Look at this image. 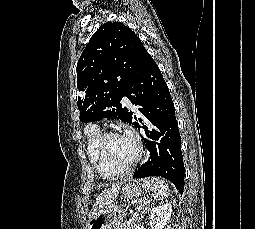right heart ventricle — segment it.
Segmentation results:
<instances>
[{"label":"right heart ventricle","mask_w":255,"mask_h":229,"mask_svg":"<svg viewBox=\"0 0 255 229\" xmlns=\"http://www.w3.org/2000/svg\"><path fill=\"white\" fill-rule=\"evenodd\" d=\"M102 131L96 124H92L87 129L86 151L88 159L96 172L104 178H114L120 175V171L114 170L104 162L96 151V143Z\"/></svg>","instance_id":"1"}]
</instances>
